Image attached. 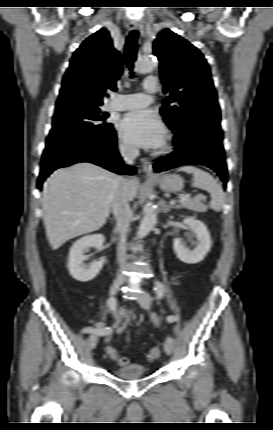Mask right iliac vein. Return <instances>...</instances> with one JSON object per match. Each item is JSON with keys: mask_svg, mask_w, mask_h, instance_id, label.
<instances>
[{"mask_svg": "<svg viewBox=\"0 0 273 430\" xmlns=\"http://www.w3.org/2000/svg\"><path fill=\"white\" fill-rule=\"evenodd\" d=\"M125 282L124 278L117 277L113 284L110 287V295H115L117 291L119 290L120 286ZM98 342V334L97 335H91V338L89 339V348L94 349Z\"/></svg>", "mask_w": 273, "mask_h": 430, "instance_id": "63e3f726", "label": "right iliac vein"}]
</instances>
